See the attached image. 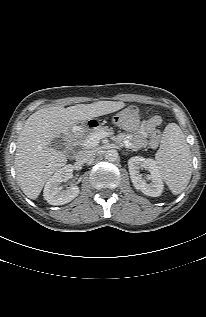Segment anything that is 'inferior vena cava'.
Returning a JSON list of instances; mask_svg holds the SVG:
<instances>
[{"label": "inferior vena cava", "mask_w": 206, "mask_h": 317, "mask_svg": "<svg viewBox=\"0 0 206 317\" xmlns=\"http://www.w3.org/2000/svg\"><path fill=\"white\" fill-rule=\"evenodd\" d=\"M95 156L94 151L92 150H82L79 151L76 155V160L79 163H87L92 160Z\"/></svg>", "instance_id": "602c4592"}]
</instances>
